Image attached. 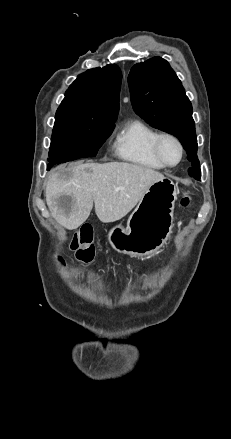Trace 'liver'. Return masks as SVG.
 <instances>
[{
	"mask_svg": "<svg viewBox=\"0 0 231 439\" xmlns=\"http://www.w3.org/2000/svg\"><path fill=\"white\" fill-rule=\"evenodd\" d=\"M163 178L151 168L124 162L60 166L48 178L46 203L53 218L68 230L87 220L93 204L101 222H115Z\"/></svg>",
	"mask_w": 231,
	"mask_h": 439,
	"instance_id": "6515ba94",
	"label": "liver"
}]
</instances>
